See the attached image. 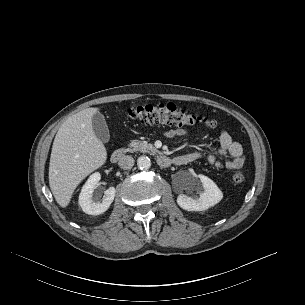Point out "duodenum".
Listing matches in <instances>:
<instances>
[{
    "instance_id": "410a0bca",
    "label": "duodenum",
    "mask_w": 305,
    "mask_h": 305,
    "mask_svg": "<svg viewBox=\"0 0 305 305\" xmlns=\"http://www.w3.org/2000/svg\"><path fill=\"white\" fill-rule=\"evenodd\" d=\"M125 155L124 149H117L111 154V161L113 163H118ZM157 163L162 168H167L172 164H175V159H171L166 155L158 154L157 155Z\"/></svg>"
}]
</instances>
